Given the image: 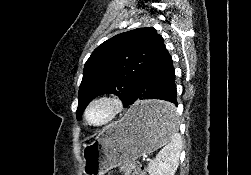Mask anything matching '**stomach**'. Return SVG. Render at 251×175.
<instances>
[{"label":"stomach","mask_w":251,"mask_h":175,"mask_svg":"<svg viewBox=\"0 0 251 175\" xmlns=\"http://www.w3.org/2000/svg\"><path fill=\"white\" fill-rule=\"evenodd\" d=\"M171 100H138L122 119L106 125L91 143H84L82 157L84 175H101L116 165L151 153L179 134L178 118Z\"/></svg>","instance_id":"obj_1"}]
</instances>
